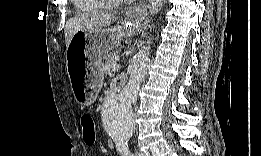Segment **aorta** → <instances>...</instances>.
I'll return each mask as SVG.
<instances>
[{
    "instance_id": "aorta-1",
    "label": "aorta",
    "mask_w": 261,
    "mask_h": 156,
    "mask_svg": "<svg viewBox=\"0 0 261 156\" xmlns=\"http://www.w3.org/2000/svg\"><path fill=\"white\" fill-rule=\"evenodd\" d=\"M163 0H150L149 11L157 14ZM150 63L149 46L134 56L129 81L124 90L107 97L102 105L101 118L104 131L116 142L128 141L135 131L133 105Z\"/></svg>"
}]
</instances>
